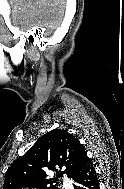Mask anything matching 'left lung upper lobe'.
Wrapping results in <instances>:
<instances>
[{
  "label": "left lung upper lobe",
  "instance_id": "obj_1",
  "mask_svg": "<svg viewBox=\"0 0 124 189\" xmlns=\"http://www.w3.org/2000/svg\"><path fill=\"white\" fill-rule=\"evenodd\" d=\"M88 158L79 140L66 130L54 129L41 136L5 174L3 189L35 187L58 189L59 177H72ZM57 168L63 171H57ZM46 170H55V178H48ZM53 183H56L55 185Z\"/></svg>",
  "mask_w": 124,
  "mask_h": 189
}]
</instances>
